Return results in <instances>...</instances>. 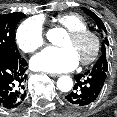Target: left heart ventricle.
Returning <instances> with one entry per match:
<instances>
[{"label":"left heart ventricle","mask_w":117,"mask_h":117,"mask_svg":"<svg viewBox=\"0 0 117 117\" xmlns=\"http://www.w3.org/2000/svg\"><path fill=\"white\" fill-rule=\"evenodd\" d=\"M65 47H71L76 55L78 56L79 60L81 58L87 57L90 55L93 49V41L89 38L81 40V41H73L69 36L63 43Z\"/></svg>","instance_id":"1"}]
</instances>
